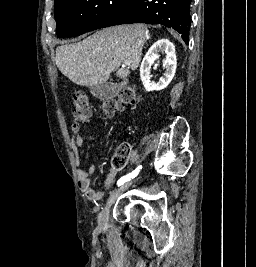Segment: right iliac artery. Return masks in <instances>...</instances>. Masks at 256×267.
Returning <instances> with one entry per match:
<instances>
[{
  "label": "right iliac artery",
  "instance_id": "obj_1",
  "mask_svg": "<svg viewBox=\"0 0 256 267\" xmlns=\"http://www.w3.org/2000/svg\"><path fill=\"white\" fill-rule=\"evenodd\" d=\"M141 168H142V166H138L134 171H132L128 175L121 177L118 180L117 185L120 186V185L124 184L125 182L130 181L131 179L135 178L138 175Z\"/></svg>",
  "mask_w": 256,
  "mask_h": 267
}]
</instances>
